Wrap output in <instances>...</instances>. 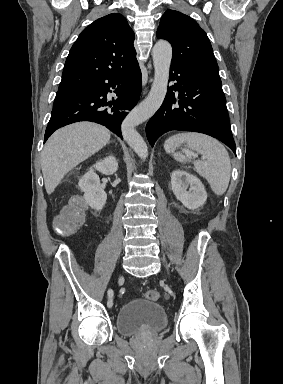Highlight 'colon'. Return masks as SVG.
Returning <instances> with one entry per match:
<instances>
[{
    "mask_svg": "<svg viewBox=\"0 0 283 384\" xmlns=\"http://www.w3.org/2000/svg\"><path fill=\"white\" fill-rule=\"evenodd\" d=\"M82 220V207L79 204H73L62 211L55 221V227L59 233L71 234L81 225ZM160 296L157 290H148L144 293V297L151 301L159 300Z\"/></svg>",
    "mask_w": 283,
    "mask_h": 384,
    "instance_id": "5ec220e1",
    "label": "colon"
}]
</instances>
